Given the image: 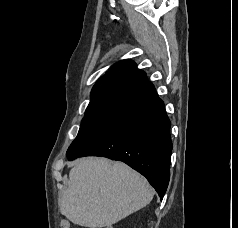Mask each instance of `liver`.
<instances>
[{
    "label": "liver",
    "instance_id": "1",
    "mask_svg": "<svg viewBox=\"0 0 238 228\" xmlns=\"http://www.w3.org/2000/svg\"><path fill=\"white\" fill-rule=\"evenodd\" d=\"M153 196L146 179L126 164L84 158L70 170L59 208L76 225L102 228L142 209Z\"/></svg>",
    "mask_w": 238,
    "mask_h": 228
}]
</instances>
